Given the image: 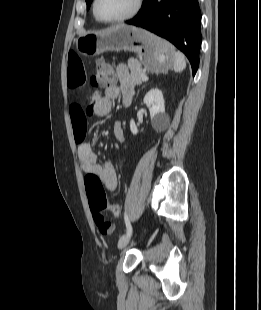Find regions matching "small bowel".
<instances>
[{
  "mask_svg": "<svg viewBox=\"0 0 261 310\" xmlns=\"http://www.w3.org/2000/svg\"><path fill=\"white\" fill-rule=\"evenodd\" d=\"M119 84L109 85L103 96L96 95L88 109V114L105 115L110 111L112 100L121 96L123 101L133 97V85L129 80L126 65L120 64L116 69ZM86 81L85 66L80 56L75 52L68 55L67 86L72 91L79 90ZM70 115L75 141L78 145L77 154L82 170L87 174H95L104 183L108 191L114 192L118 187L116 170L111 163L99 164L91 142L87 139L86 112L77 103L70 107ZM114 136L121 142L124 139L123 129L119 122L114 125Z\"/></svg>",
  "mask_w": 261,
  "mask_h": 310,
  "instance_id": "obj_1",
  "label": "small bowel"
}]
</instances>
